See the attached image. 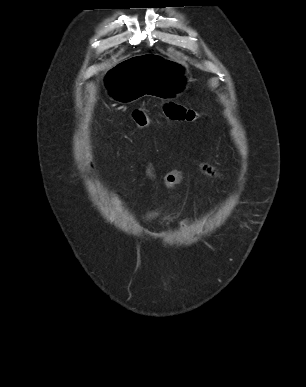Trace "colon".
<instances>
[{
	"label": "colon",
	"mask_w": 306,
	"mask_h": 387,
	"mask_svg": "<svg viewBox=\"0 0 306 387\" xmlns=\"http://www.w3.org/2000/svg\"><path fill=\"white\" fill-rule=\"evenodd\" d=\"M165 116L170 120H182L183 122L197 121L201 114L184 105L167 102L163 106ZM132 120L139 130H144L149 125V116L144 108H136L132 111Z\"/></svg>",
	"instance_id": "1"
}]
</instances>
